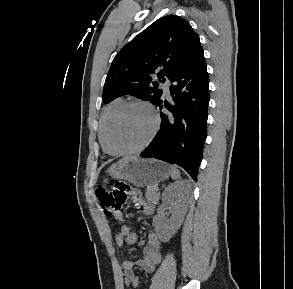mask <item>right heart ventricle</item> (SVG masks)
Masks as SVG:
<instances>
[{
    "instance_id": "right-heart-ventricle-1",
    "label": "right heart ventricle",
    "mask_w": 293,
    "mask_h": 289,
    "mask_svg": "<svg viewBox=\"0 0 293 289\" xmlns=\"http://www.w3.org/2000/svg\"><path fill=\"white\" fill-rule=\"evenodd\" d=\"M123 103H124V100L121 97L114 99L104 109V111L101 115L100 122H99V129H98V137H99V141H100L103 149H104V136H105V130H106L107 123H108L110 117L112 116V114L114 113V111Z\"/></svg>"
}]
</instances>
